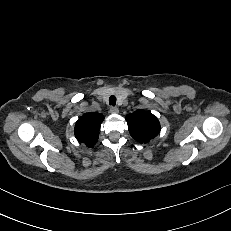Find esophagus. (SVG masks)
<instances>
[{
    "instance_id": "obj_1",
    "label": "esophagus",
    "mask_w": 231,
    "mask_h": 231,
    "mask_svg": "<svg viewBox=\"0 0 231 231\" xmlns=\"http://www.w3.org/2000/svg\"><path fill=\"white\" fill-rule=\"evenodd\" d=\"M109 112L111 114H117L119 112L117 107H110Z\"/></svg>"
}]
</instances>
